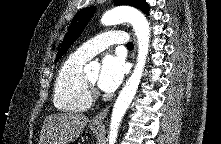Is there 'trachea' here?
I'll return each mask as SVG.
<instances>
[{"label": "trachea", "mask_w": 221, "mask_h": 144, "mask_svg": "<svg viewBox=\"0 0 221 144\" xmlns=\"http://www.w3.org/2000/svg\"><path fill=\"white\" fill-rule=\"evenodd\" d=\"M133 47H134V46H133V43H132V42H128V43H127V48H128V49H131V50H132Z\"/></svg>", "instance_id": "trachea-1"}]
</instances>
